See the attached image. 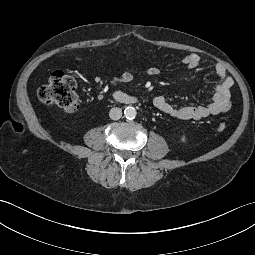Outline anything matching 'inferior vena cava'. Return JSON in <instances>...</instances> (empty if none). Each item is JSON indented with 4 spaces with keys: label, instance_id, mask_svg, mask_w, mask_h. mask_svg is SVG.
<instances>
[{
    "label": "inferior vena cava",
    "instance_id": "1",
    "mask_svg": "<svg viewBox=\"0 0 255 255\" xmlns=\"http://www.w3.org/2000/svg\"><path fill=\"white\" fill-rule=\"evenodd\" d=\"M109 117L112 120H119L122 117V110L117 107L112 108L109 112Z\"/></svg>",
    "mask_w": 255,
    "mask_h": 255
}]
</instances>
